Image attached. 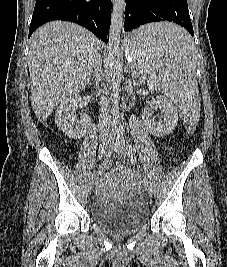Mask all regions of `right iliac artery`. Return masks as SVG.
<instances>
[{"instance_id":"82829eb1","label":"right iliac artery","mask_w":227,"mask_h":267,"mask_svg":"<svg viewBox=\"0 0 227 267\" xmlns=\"http://www.w3.org/2000/svg\"><path fill=\"white\" fill-rule=\"evenodd\" d=\"M103 156H101V157H99V159H101ZM95 176V173L92 175V179H93V177Z\"/></svg>"}]
</instances>
